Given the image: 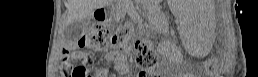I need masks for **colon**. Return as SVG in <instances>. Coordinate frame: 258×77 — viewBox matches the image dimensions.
<instances>
[{
	"instance_id": "5ec220e1",
	"label": "colon",
	"mask_w": 258,
	"mask_h": 77,
	"mask_svg": "<svg viewBox=\"0 0 258 77\" xmlns=\"http://www.w3.org/2000/svg\"><path fill=\"white\" fill-rule=\"evenodd\" d=\"M110 36V30L104 23H96L88 28L81 37V47L90 50L101 49L107 38ZM136 65L142 71H150L155 68L157 57L150 43L145 40H138L135 43ZM92 61L83 51L76 48L65 50L61 71L65 77H88ZM206 71L216 68L217 60L209 58L203 64Z\"/></svg>"
}]
</instances>
